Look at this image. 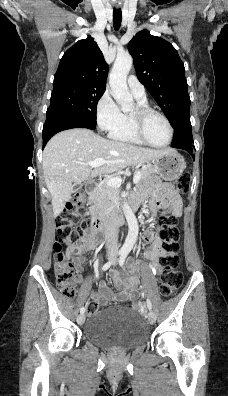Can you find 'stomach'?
<instances>
[{
	"label": "stomach",
	"mask_w": 228,
	"mask_h": 396,
	"mask_svg": "<svg viewBox=\"0 0 228 396\" xmlns=\"http://www.w3.org/2000/svg\"><path fill=\"white\" fill-rule=\"evenodd\" d=\"M152 163L155 173L167 181L178 179L186 168L184 158L174 150L152 160Z\"/></svg>",
	"instance_id": "stomach-1"
}]
</instances>
